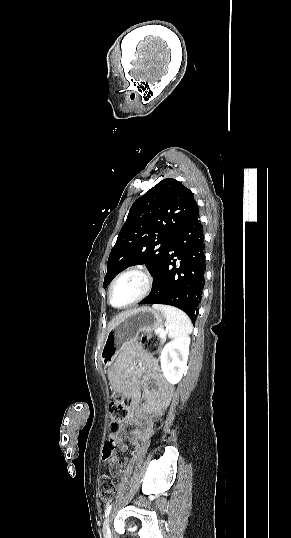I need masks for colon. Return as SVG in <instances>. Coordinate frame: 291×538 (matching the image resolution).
<instances>
[{"mask_svg": "<svg viewBox=\"0 0 291 538\" xmlns=\"http://www.w3.org/2000/svg\"><path fill=\"white\" fill-rule=\"evenodd\" d=\"M141 343L144 349L157 357L161 352V344L157 337L152 334L145 333L141 336ZM130 401L121 396L120 394H114L109 402L110 411V427L113 431H118L123 426L125 419L130 410ZM155 427H160L161 423L156 420ZM114 445L111 442H106L103 448V459L108 465L115 464L116 458L114 455ZM99 495L102 498L108 499L115 493V484L112 477L108 474L100 476L98 481Z\"/></svg>", "mask_w": 291, "mask_h": 538, "instance_id": "1", "label": "colon"}]
</instances>
